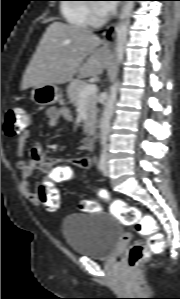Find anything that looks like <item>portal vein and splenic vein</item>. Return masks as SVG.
<instances>
[{
  "label": "portal vein and splenic vein",
  "mask_w": 180,
  "mask_h": 299,
  "mask_svg": "<svg viewBox=\"0 0 180 299\" xmlns=\"http://www.w3.org/2000/svg\"><path fill=\"white\" fill-rule=\"evenodd\" d=\"M97 92V86L95 84L86 85L82 91L80 92L79 96L81 98H85L90 95H94Z\"/></svg>",
  "instance_id": "portal-vein-and-splenic-vein-1"
}]
</instances>
